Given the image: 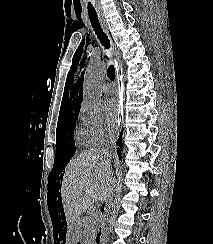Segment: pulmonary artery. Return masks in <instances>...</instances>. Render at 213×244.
Segmentation results:
<instances>
[{
	"label": "pulmonary artery",
	"instance_id": "e3ab8cb5",
	"mask_svg": "<svg viewBox=\"0 0 213 244\" xmlns=\"http://www.w3.org/2000/svg\"><path fill=\"white\" fill-rule=\"evenodd\" d=\"M102 92L105 95H111L113 93V86L110 83H104L102 85Z\"/></svg>",
	"mask_w": 213,
	"mask_h": 244
}]
</instances>
